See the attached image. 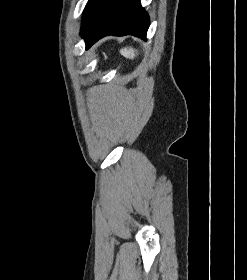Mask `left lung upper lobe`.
Masks as SVG:
<instances>
[{
	"instance_id": "5c2ea615",
	"label": "left lung upper lobe",
	"mask_w": 247,
	"mask_h": 280,
	"mask_svg": "<svg viewBox=\"0 0 247 280\" xmlns=\"http://www.w3.org/2000/svg\"><path fill=\"white\" fill-rule=\"evenodd\" d=\"M101 0H89L88 3L86 4V7L83 11V20H82V25L85 22L86 18L92 11V9L100 2Z\"/></svg>"
}]
</instances>
